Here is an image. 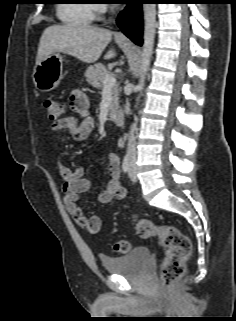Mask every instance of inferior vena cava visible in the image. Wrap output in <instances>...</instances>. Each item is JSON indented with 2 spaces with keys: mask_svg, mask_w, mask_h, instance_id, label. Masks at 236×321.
<instances>
[{
  "mask_svg": "<svg viewBox=\"0 0 236 321\" xmlns=\"http://www.w3.org/2000/svg\"><path fill=\"white\" fill-rule=\"evenodd\" d=\"M134 130L135 128L134 126H132L129 132L128 145H127V152L133 158L136 156Z\"/></svg>",
  "mask_w": 236,
  "mask_h": 321,
  "instance_id": "1",
  "label": "inferior vena cava"
}]
</instances>
